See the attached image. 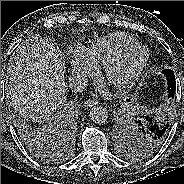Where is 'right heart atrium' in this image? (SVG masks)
<instances>
[{"label":"right heart atrium","mask_w":184,"mask_h":184,"mask_svg":"<svg viewBox=\"0 0 184 184\" xmlns=\"http://www.w3.org/2000/svg\"><path fill=\"white\" fill-rule=\"evenodd\" d=\"M72 70L80 75L90 76L96 72V64L88 57L87 52L82 47H76L70 56Z\"/></svg>","instance_id":"d8ad5b80"}]
</instances>
